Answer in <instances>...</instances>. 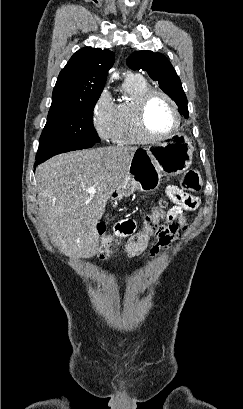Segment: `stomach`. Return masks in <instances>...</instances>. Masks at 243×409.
<instances>
[{"label":"stomach","mask_w":243,"mask_h":409,"mask_svg":"<svg viewBox=\"0 0 243 409\" xmlns=\"http://www.w3.org/2000/svg\"><path fill=\"white\" fill-rule=\"evenodd\" d=\"M193 146L183 134L168 141L135 152L129 172L116 190L118 198L127 197L135 191L156 190L163 175H178L192 163Z\"/></svg>","instance_id":"0dacf381"}]
</instances>
